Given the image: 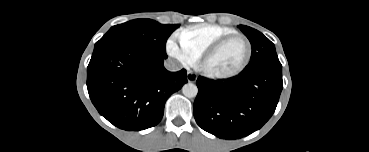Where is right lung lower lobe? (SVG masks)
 Returning <instances> with one entry per match:
<instances>
[{
    "instance_id": "obj_1",
    "label": "right lung lower lobe",
    "mask_w": 369,
    "mask_h": 152,
    "mask_svg": "<svg viewBox=\"0 0 369 152\" xmlns=\"http://www.w3.org/2000/svg\"><path fill=\"white\" fill-rule=\"evenodd\" d=\"M164 59L131 43L93 52L87 68V88L98 112L127 131L157 125L166 100L187 82L186 70L169 72Z\"/></svg>"
}]
</instances>
